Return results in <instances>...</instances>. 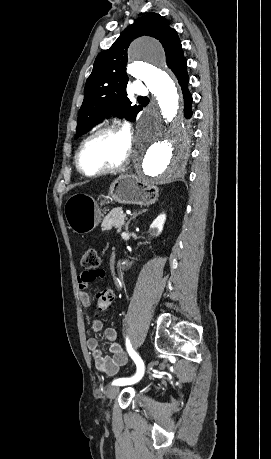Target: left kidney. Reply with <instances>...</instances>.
I'll list each match as a JSON object with an SVG mask.
<instances>
[{"label": "left kidney", "mask_w": 271, "mask_h": 459, "mask_svg": "<svg viewBox=\"0 0 271 459\" xmlns=\"http://www.w3.org/2000/svg\"><path fill=\"white\" fill-rule=\"evenodd\" d=\"M165 220H166L165 214H160V216H157L156 220L152 222L149 228V233H151V235H159V233H161L163 229Z\"/></svg>", "instance_id": "obj_1"}]
</instances>
